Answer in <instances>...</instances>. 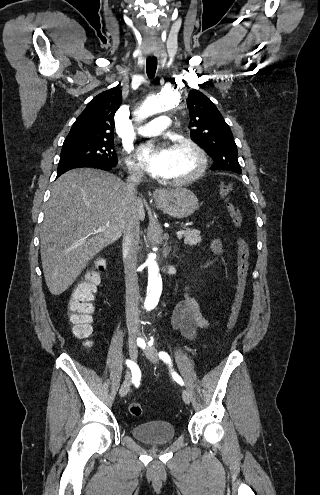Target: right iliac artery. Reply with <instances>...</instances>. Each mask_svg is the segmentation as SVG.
I'll use <instances>...</instances> for the list:
<instances>
[{"label":"right iliac artery","instance_id":"1","mask_svg":"<svg viewBox=\"0 0 320 495\" xmlns=\"http://www.w3.org/2000/svg\"><path fill=\"white\" fill-rule=\"evenodd\" d=\"M126 364L127 366L131 369L132 371V381L133 382H137L139 381V378H140V370L138 368V366L136 365L135 362L131 361V360H126Z\"/></svg>","mask_w":320,"mask_h":495}]
</instances>
